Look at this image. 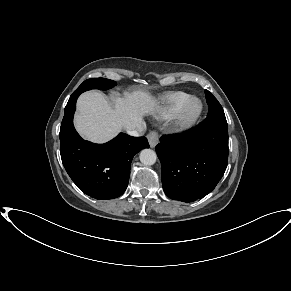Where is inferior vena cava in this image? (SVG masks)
I'll return each instance as SVG.
<instances>
[{
  "label": "inferior vena cava",
  "mask_w": 291,
  "mask_h": 291,
  "mask_svg": "<svg viewBox=\"0 0 291 291\" xmlns=\"http://www.w3.org/2000/svg\"><path fill=\"white\" fill-rule=\"evenodd\" d=\"M146 129V125L144 122H142L140 125L137 126L136 129H133V130H127V133L131 136H135V137H138V136H141L144 131Z\"/></svg>",
  "instance_id": "obj_1"
}]
</instances>
